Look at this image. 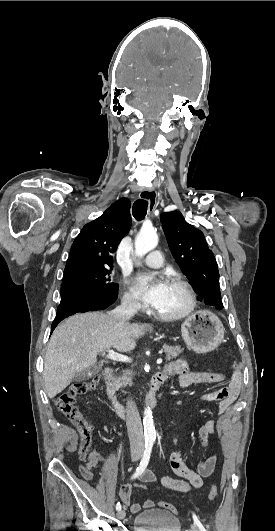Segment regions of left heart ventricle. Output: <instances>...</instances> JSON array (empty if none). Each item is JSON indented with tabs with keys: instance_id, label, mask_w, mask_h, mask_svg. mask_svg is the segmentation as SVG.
<instances>
[{
	"instance_id": "left-heart-ventricle-1",
	"label": "left heart ventricle",
	"mask_w": 275,
	"mask_h": 531,
	"mask_svg": "<svg viewBox=\"0 0 275 531\" xmlns=\"http://www.w3.org/2000/svg\"><path fill=\"white\" fill-rule=\"evenodd\" d=\"M187 305L184 290L172 281H168L159 303L154 309L163 314H175L182 311Z\"/></svg>"
}]
</instances>
